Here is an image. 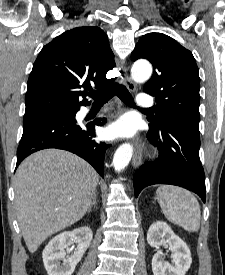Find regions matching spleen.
I'll return each instance as SVG.
<instances>
[{
	"instance_id": "spleen-1",
	"label": "spleen",
	"mask_w": 225,
	"mask_h": 275,
	"mask_svg": "<svg viewBox=\"0 0 225 275\" xmlns=\"http://www.w3.org/2000/svg\"><path fill=\"white\" fill-rule=\"evenodd\" d=\"M156 198L166 219L188 232H197L200 227L201 211L197 199L183 188L162 185Z\"/></svg>"
}]
</instances>
